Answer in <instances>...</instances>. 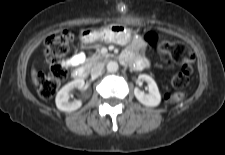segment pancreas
<instances>
[{"label":"pancreas","mask_w":225,"mask_h":155,"mask_svg":"<svg viewBox=\"0 0 225 155\" xmlns=\"http://www.w3.org/2000/svg\"><path fill=\"white\" fill-rule=\"evenodd\" d=\"M106 56L102 55L100 52L95 53L92 57L88 58L86 60V67H91L97 62L101 61L104 59Z\"/></svg>","instance_id":"cf45deb5"}]
</instances>
